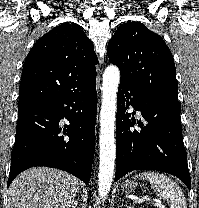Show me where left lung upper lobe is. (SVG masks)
Listing matches in <instances>:
<instances>
[{
  "label": "left lung upper lobe",
  "instance_id": "5c2ea615",
  "mask_svg": "<svg viewBox=\"0 0 199 208\" xmlns=\"http://www.w3.org/2000/svg\"><path fill=\"white\" fill-rule=\"evenodd\" d=\"M107 54L121 79L160 98L178 102L172 53L164 40L145 25L127 21L108 43Z\"/></svg>",
  "mask_w": 199,
  "mask_h": 208
}]
</instances>
